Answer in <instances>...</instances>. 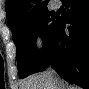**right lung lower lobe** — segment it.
Returning a JSON list of instances; mask_svg holds the SVG:
<instances>
[{"mask_svg": "<svg viewBox=\"0 0 89 89\" xmlns=\"http://www.w3.org/2000/svg\"><path fill=\"white\" fill-rule=\"evenodd\" d=\"M67 19H60L36 72L52 68L67 82L89 85V1L62 0ZM66 23L70 26L65 31Z\"/></svg>", "mask_w": 89, "mask_h": 89, "instance_id": "obj_1", "label": "right lung lower lobe"}]
</instances>
